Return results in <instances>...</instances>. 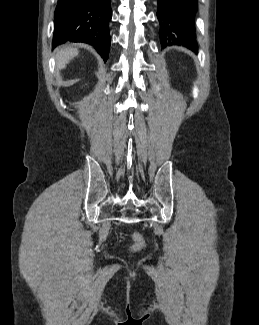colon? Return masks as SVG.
Segmentation results:
<instances>
[{"label":"colon","mask_w":259,"mask_h":325,"mask_svg":"<svg viewBox=\"0 0 259 325\" xmlns=\"http://www.w3.org/2000/svg\"><path fill=\"white\" fill-rule=\"evenodd\" d=\"M132 239H133V250L138 251L140 249H142V247L144 246V240L142 238L141 235H139L138 233H134L132 235Z\"/></svg>","instance_id":"obj_1"}]
</instances>
